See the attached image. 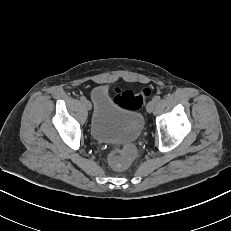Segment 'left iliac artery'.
<instances>
[{
	"label": "left iliac artery",
	"instance_id": "left-iliac-artery-1",
	"mask_svg": "<svg viewBox=\"0 0 231 231\" xmlns=\"http://www.w3.org/2000/svg\"><path fill=\"white\" fill-rule=\"evenodd\" d=\"M160 99H161L160 96H155V97L153 98V100L156 101V102L160 101Z\"/></svg>",
	"mask_w": 231,
	"mask_h": 231
}]
</instances>
